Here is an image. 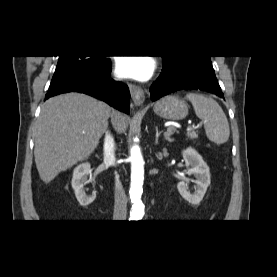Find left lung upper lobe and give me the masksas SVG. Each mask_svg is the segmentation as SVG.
<instances>
[{
  "mask_svg": "<svg viewBox=\"0 0 277 277\" xmlns=\"http://www.w3.org/2000/svg\"><path fill=\"white\" fill-rule=\"evenodd\" d=\"M164 67L168 68H181L191 66H206L212 67L210 56H193V55H182V56H162Z\"/></svg>",
  "mask_w": 277,
  "mask_h": 277,
  "instance_id": "5c2ea615",
  "label": "left lung upper lobe"
}]
</instances>
